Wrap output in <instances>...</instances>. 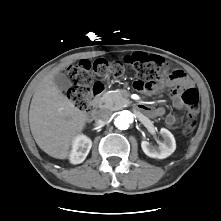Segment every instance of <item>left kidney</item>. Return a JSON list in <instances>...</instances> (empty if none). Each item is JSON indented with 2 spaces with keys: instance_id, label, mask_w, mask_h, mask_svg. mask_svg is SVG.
<instances>
[{
  "instance_id": "1",
  "label": "left kidney",
  "mask_w": 221,
  "mask_h": 221,
  "mask_svg": "<svg viewBox=\"0 0 221 221\" xmlns=\"http://www.w3.org/2000/svg\"><path fill=\"white\" fill-rule=\"evenodd\" d=\"M160 134L162 135L164 141L160 143L158 147L151 146L150 143L147 141L141 142V148L143 152L151 158H158V159L167 158L176 149L175 138L169 130L161 128Z\"/></svg>"
}]
</instances>
